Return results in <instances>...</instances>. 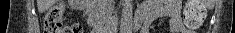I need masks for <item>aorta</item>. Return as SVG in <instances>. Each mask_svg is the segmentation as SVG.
Segmentation results:
<instances>
[{"mask_svg": "<svg viewBox=\"0 0 235 33\" xmlns=\"http://www.w3.org/2000/svg\"><path fill=\"white\" fill-rule=\"evenodd\" d=\"M133 16V4L132 0H124L122 14H121V27L122 31H126L130 28Z\"/></svg>", "mask_w": 235, "mask_h": 33, "instance_id": "762f6f07", "label": "aorta"}]
</instances>
